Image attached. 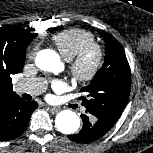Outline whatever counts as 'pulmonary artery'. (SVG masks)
I'll return each instance as SVG.
<instances>
[{"mask_svg": "<svg viewBox=\"0 0 153 153\" xmlns=\"http://www.w3.org/2000/svg\"><path fill=\"white\" fill-rule=\"evenodd\" d=\"M19 93L40 94L45 89V81L40 78L24 79L15 85Z\"/></svg>", "mask_w": 153, "mask_h": 153, "instance_id": "e3ab8cb5", "label": "pulmonary artery"}]
</instances>
